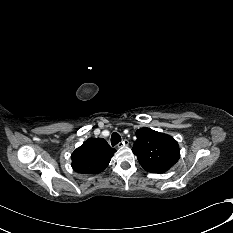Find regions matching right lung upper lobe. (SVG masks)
<instances>
[{
	"label": "right lung upper lobe",
	"mask_w": 233,
	"mask_h": 233,
	"mask_svg": "<svg viewBox=\"0 0 233 233\" xmlns=\"http://www.w3.org/2000/svg\"><path fill=\"white\" fill-rule=\"evenodd\" d=\"M116 152L105 139L89 138L72 153V168L82 174H97L109 164Z\"/></svg>",
	"instance_id": "cb5924a9"
}]
</instances>
